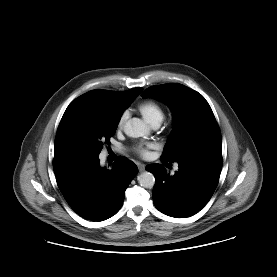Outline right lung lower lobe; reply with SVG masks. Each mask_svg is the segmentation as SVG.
<instances>
[{
  "label": "right lung lower lobe",
  "instance_id": "right-lung-lower-lobe-1",
  "mask_svg": "<svg viewBox=\"0 0 277 277\" xmlns=\"http://www.w3.org/2000/svg\"><path fill=\"white\" fill-rule=\"evenodd\" d=\"M53 169L65 200L81 217L103 221L121 208L125 190L138 172L132 161L119 157L113 168H101L98 155L54 156Z\"/></svg>",
  "mask_w": 277,
  "mask_h": 277
}]
</instances>
